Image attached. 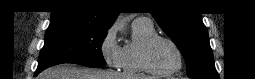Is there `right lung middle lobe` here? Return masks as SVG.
I'll list each match as a JSON object with an SVG mask.
<instances>
[{
    "mask_svg": "<svg viewBox=\"0 0 255 79\" xmlns=\"http://www.w3.org/2000/svg\"><path fill=\"white\" fill-rule=\"evenodd\" d=\"M107 30L67 23L50 24L37 69L43 70L59 63H76L89 67L106 65L101 45Z\"/></svg>",
    "mask_w": 255,
    "mask_h": 79,
    "instance_id": "right-lung-middle-lobe-1",
    "label": "right lung middle lobe"
}]
</instances>
